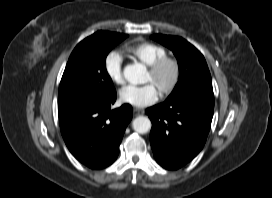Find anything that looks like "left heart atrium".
<instances>
[{"mask_svg": "<svg viewBox=\"0 0 272 198\" xmlns=\"http://www.w3.org/2000/svg\"><path fill=\"white\" fill-rule=\"evenodd\" d=\"M158 91L152 83L141 86H127L119 93L120 101L134 107H144L153 104L158 98Z\"/></svg>", "mask_w": 272, "mask_h": 198, "instance_id": "obj_1", "label": "left heart atrium"}]
</instances>
